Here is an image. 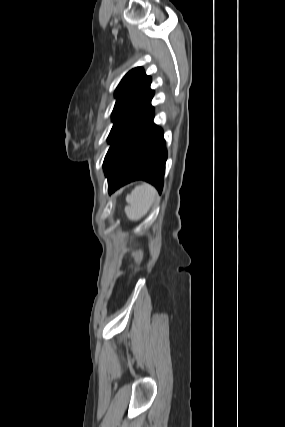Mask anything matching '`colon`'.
<instances>
[{
  "label": "colon",
  "mask_w": 285,
  "mask_h": 427,
  "mask_svg": "<svg viewBox=\"0 0 285 427\" xmlns=\"http://www.w3.org/2000/svg\"><path fill=\"white\" fill-rule=\"evenodd\" d=\"M133 257H134V263L131 264L129 267L128 284L130 283V281L132 280V278L135 276V274L139 269L140 262L142 261V258H143V252L141 250H137L133 253Z\"/></svg>",
  "instance_id": "5ec220e1"
}]
</instances>
